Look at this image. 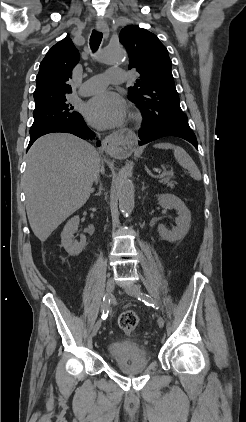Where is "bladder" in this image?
Wrapping results in <instances>:
<instances>
[{"label": "bladder", "mask_w": 246, "mask_h": 422, "mask_svg": "<svg viewBox=\"0 0 246 422\" xmlns=\"http://www.w3.org/2000/svg\"><path fill=\"white\" fill-rule=\"evenodd\" d=\"M107 351L110 359L116 364L138 363L148 360L145 346L134 340H114L108 344Z\"/></svg>", "instance_id": "31cf9c89"}]
</instances>
